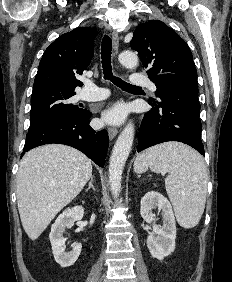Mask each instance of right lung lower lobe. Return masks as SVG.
Wrapping results in <instances>:
<instances>
[{"instance_id":"98d812e1","label":"right lung lower lobe","mask_w":232,"mask_h":282,"mask_svg":"<svg viewBox=\"0 0 232 282\" xmlns=\"http://www.w3.org/2000/svg\"><path fill=\"white\" fill-rule=\"evenodd\" d=\"M90 116V111L82 115H61L29 130L22 156L37 146L59 143L80 150L103 167L108 150V133L106 130H93L89 126Z\"/></svg>"}]
</instances>
